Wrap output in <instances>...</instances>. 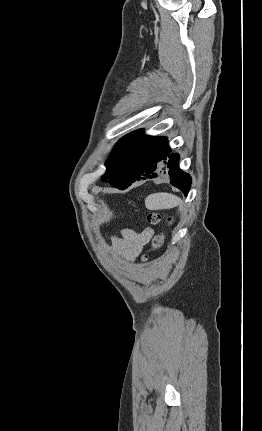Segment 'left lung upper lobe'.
Here are the masks:
<instances>
[{
	"instance_id": "1",
	"label": "left lung upper lobe",
	"mask_w": 262,
	"mask_h": 431,
	"mask_svg": "<svg viewBox=\"0 0 262 431\" xmlns=\"http://www.w3.org/2000/svg\"><path fill=\"white\" fill-rule=\"evenodd\" d=\"M152 139L154 137L144 136L141 130L121 138L105 164L107 171L102 176V181L108 182L115 188L128 182L131 177L130 165L137 151Z\"/></svg>"
}]
</instances>
